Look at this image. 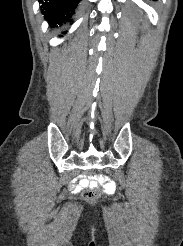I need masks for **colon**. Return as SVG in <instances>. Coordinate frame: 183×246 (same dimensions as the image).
<instances>
[{"mask_svg":"<svg viewBox=\"0 0 183 246\" xmlns=\"http://www.w3.org/2000/svg\"><path fill=\"white\" fill-rule=\"evenodd\" d=\"M85 174H88V175L96 174V171L95 170H86ZM98 195H99V192L97 190L87 189L82 193V198L84 201L90 202V201L94 200Z\"/></svg>","mask_w":183,"mask_h":246,"instance_id":"colon-1","label":"colon"}]
</instances>
